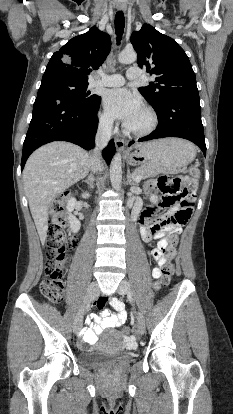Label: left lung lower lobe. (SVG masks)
I'll use <instances>...</instances> for the list:
<instances>
[{
	"label": "left lung lower lobe",
	"instance_id": "obj_1",
	"mask_svg": "<svg viewBox=\"0 0 233 414\" xmlns=\"http://www.w3.org/2000/svg\"><path fill=\"white\" fill-rule=\"evenodd\" d=\"M199 101V94H186L169 99L156 112L158 116V127L156 130L138 141L142 142L163 137H180L195 143L206 155ZM133 143L134 141H131L129 145Z\"/></svg>",
	"mask_w": 233,
	"mask_h": 414
}]
</instances>
